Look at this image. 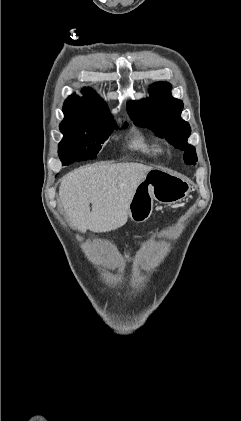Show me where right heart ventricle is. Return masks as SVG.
Wrapping results in <instances>:
<instances>
[{"label": "right heart ventricle", "instance_id": "obj_1", "mask_svg": "<svg viewBox=\"0 0 241 421\" xmlns=\"http://www.w3.org/2000/svg\"><path fill=\"white\" fill-rule=\"evenodd\" d=\"M131 148L140 151L145 154H160L163 152V148L157 142L151 141L142 133H137L132 142Z\"/></svg>", "mask_w": 241, "mask_h": 421}]
</instances>
